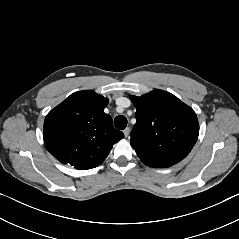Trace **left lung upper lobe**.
Here are the masks:
<instances>
[{
	"instance_id": "1",
	"label": "left lung upper lobe",
	"mask_w": 239,
	"mask_h": 239,
	"mask_svg": "<svg viewBox=\"0 0 239 239\" xmlns=\"http://www.w3.org/2000/svg\"><path fill=\"white\" fill-rule=\"evenodd\" d=\"M136 124L131 146L150 167L166 168L183 160L195 145L199 124L192 108L163 90L131 96Z\"/></svg>"
}]
</instances>
